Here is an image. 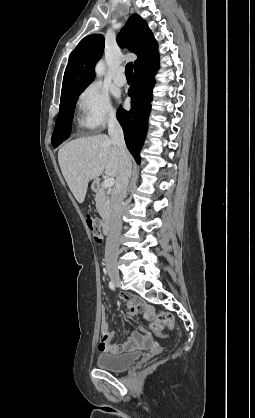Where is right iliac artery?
Instances as JSON below:
<instances>
[{"label":"right iliac artery","instance_id":"82829eb1","mask_svg":"<svg viewBox=\"0 0 255 418\" xmlns=\"http://www.w3.org/2000/svg\"><path fill=\"white\" fill-rule=\"evenodd\" d=\"M109 287H110V289L115 290V284H114V282L110 281L109 282Z\"/></svg>","mask_w":255,"mask_h":418}]
</instances>
